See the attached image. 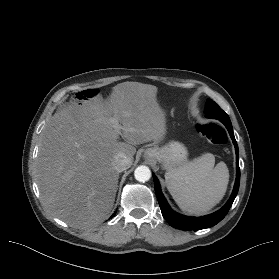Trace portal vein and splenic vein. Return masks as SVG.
<instances>
[{"instance_id": "portal-vein-and-splenic-vein-1", "label": "portal vein and splenic vein", "mask_w": 279, "mask_h": 279, "mask_svg": "<svg viewBox=\"0 0 279 279\" xmlns=\"http://www.w3.org/2000/svg\"><path fill=\"white\" fill-rule=\"evenodd\" d=\"M113 127L115 128V130L120 133V125L118 124V122L116 120H113Z\"/></svg>"}]
</instances>
